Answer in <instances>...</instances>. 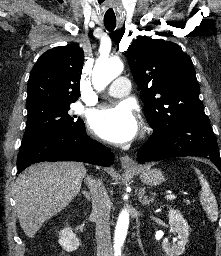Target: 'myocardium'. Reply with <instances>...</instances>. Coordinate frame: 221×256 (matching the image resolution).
I'll list each match as a JSON object with an SVG mask.
<instances>
[{
  "mask_svg": "<svg viewBox=\"0 0 221 256\" xmlns=\"http://www.w3.org/2000/svg\"><path fill=\"white\" fill-rule=\"evenodd\" d=\"M149 128L147 126H144L142 129V134H146L148 132Z\"/></svg>",
  "mask_w": 221,
  "mask_h": 256,
  "instance_id": "myocardium-1",
  "label": "myocardium"
}]
</instances>
